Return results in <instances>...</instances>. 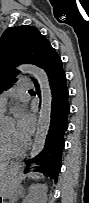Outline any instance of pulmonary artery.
Returning <instances> with one entry per match:
<instances>
[{
    "label": "pulmonary artery",
    "instance_id": "1",
    "mask_svg": "<svg viewBox=\"0 0 89 203\" xmlns=\"http://www.w3.org/2000/svg\"><path fill=\"white\" fill-rule=\"evenodd\" d=\"M34 84L29 80H20L18 85L14 87L11 92H26L29 89L33 88ZM7 103V95L2 97L0 100V110L1 112L4 110L5 105Z\"/></svg>",
    "mask_w": 89,
    "mask_h": 203
}]
</instances>
